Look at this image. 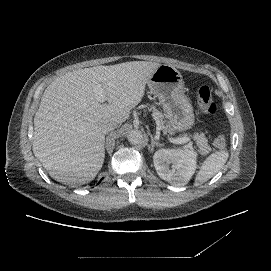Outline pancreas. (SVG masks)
Wrapping results in <instances>:
<instances>
[{
  "instance_id": "1",
  "label": "pancreas",
  "mask_w": 271,
  "mask_h": 271,
  "mask_svg": "<svg viewBox=\"0 0 271 271\" xmlns=\"http://www.w3.org/2000/svg\"><path fill=\"white\" fill-rule=\"evenodd\" d=\"M153 116L160 124V128L167 131L166 128L164 127V123H165L164 117L156 111H154ZM193 136L197 140L198 153L201 155H207L211 151V148L208 145V140L205 137V133H197L196 132Z\"/></svg>"
}]
</instances>
